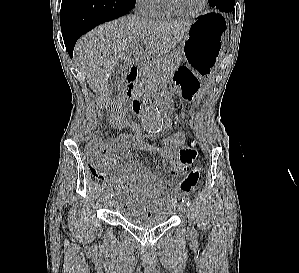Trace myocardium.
I'll list each match as a JSON object with an SVG mask.
<instances>
[{"instance_id":"myocardium-1","label":"myocardium","mask_w":299,"mask_h":273,"mask_svg":"<svg viewBox=\"0 0 299 273\" xmlns=\"http://www.w3.org/2000/svg\"><path fill=\"white\" fill-rule=\"evenodd\" d=\"M168 8L174 12L177 15H181L184 17H189V18H194V17H198L199 15H201L203 13V11L206 9L207 4H208V0H202L201 6L194 12H186L184 10H182L181 8H179L174 0H165Z\"/></svg>"}]
</instances>
